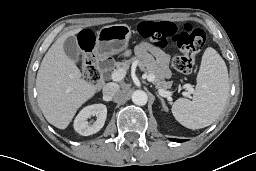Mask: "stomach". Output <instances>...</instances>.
Here are the masks:
<instances>
[{
  "mask_svg": "<svg viewBox=\"0 0 256 171\" xmlns=\"http://www.w3.org/2000/svg\"><path fill=\"white\" fill-rule=\"evenodd\" d=\"M131 27L126 24H115L101 28L97 33L94 53L104 59L125 51L131 38Z\"/></svg>",
  "mask_w": 256,
  "mask_h": 171,
  "instance_id": "obj_1",
  "label": "stomach"
}]
</instances>
